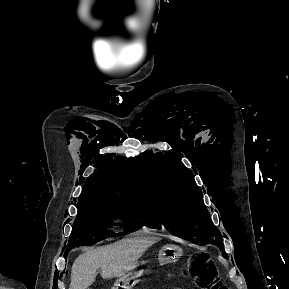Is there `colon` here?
<instances>
[{"instance_id": "obj_1", "label": "colon", "mask_w": 289, "mask_h": 289, "mask_svg": "<svg viewBox=\"0 0 289 289\" xmlns=\"http://www.w3.org/2000/svg\"><path fill=\"white\" fill-rule=\"evenodd\" d=\"M191 282L200 289H227L216 277L205 259H199L187 268Z\"/></svg>"}]
</instances>
